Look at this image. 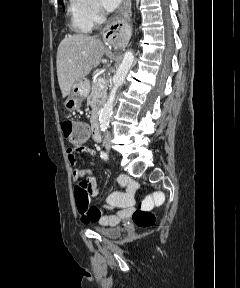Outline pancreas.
I'll return each mask as SVG.
<instances>
[{"label":"pancreas","instance_id":"cf45deb5","mask_svg":"<svg viewBox=\"0 0 240 288\" xmlns=\"http://www.w3.org/2000/svg\"><path fill=\"white\" fill-rule=\"evenodd\" d=\"M97 81L98 79L93 82L91 94L87 98V104L91 106L93 115L97 113L107 95V88L103 87L100 89L97 85Z\"/></svg>","mask_w":240,"mask_h":288}]
</instances>
